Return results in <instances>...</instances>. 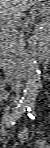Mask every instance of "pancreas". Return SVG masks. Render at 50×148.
I'll return each mask as SVG.
<instances>
[{
  "mask_svg": "<svg viewBox=\"0 0 50 148\" xmlns=\"http://www.w3.org/2000/svg\"><path fill=\"white\" fill-rule=\"evenodd\" d=\"M44 33L39 30L36 33V40L38 43H42ZM24 35L23 33H19L16 31V27L13 25H8L4 27L3 38H4V47H3V68L7 69L12 65V61L9 60L10 57H14L19 55V53L23 52L24 45ZM13 67V66H12Z\"/></svg>",
  "mask_w": 50,
  "mask_h": 148,
  "instance_id": "1",
  "label": "pancreas"
}]
</instances>
